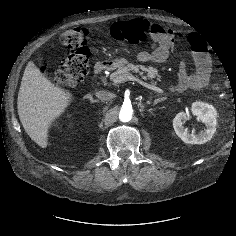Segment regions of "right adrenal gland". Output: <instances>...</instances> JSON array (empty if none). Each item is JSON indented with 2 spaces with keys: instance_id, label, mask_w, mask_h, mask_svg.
Listing matches in <instances>:
<instances>
[{
  "instance_id": "obj_1",
  "label": "right adrenal gland",
  "mask_w": 236,
  "mask_h": 236,
  "mask_svg": "<svg viewBox=\"0 0 236 236\" xmlns=\"http://www.w3.org/2000/svg\"><path fill=\"white\" fill-rule=\"evenodd\" d=\"M85 98H88L90 100V102H92V103H98L99 102V100H94L91 95H87Z\"/></svg>"
}]
</instances>
